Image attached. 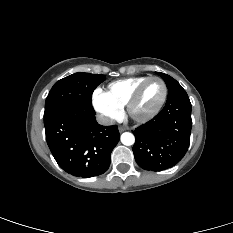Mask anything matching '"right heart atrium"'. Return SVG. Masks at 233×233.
<instances>
[{
  "instance_id": "obj_1",
  "label": "right heart atrium",
  "mask_w": 233,
  "mask_h": 233,
  "mask_svg": "<svg viewBox=\"0 0 233 233\" xmlns=\"http://www.w3.org/2000/svg\"><path fill=\"white\" fill-rule=\"evenodd\" d=\"M92 103L95 110L107 123L119 119L122 115V109L111 103L100 89L95 90L93 93Z\"/></svg>"
}]
</instances>
